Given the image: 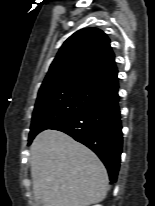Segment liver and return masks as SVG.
I'll return each mask as SVG.
<instances>
[{"label": "liver", "instance_id": "obj_1", "mask_svg": "<svg viewBox=\"0 0 155 206\" xmlns=\"http://www.w3.org/2000/svg\"><path fill=\"white\" fill-rule=\"evenodd\" d=\"M34 199L44 206H89L103 201L108 174L100 159L65 133L45 130L30 148Z\"/></svg>", "mask_w": 155, "mask_h": 206}]
</instances>
